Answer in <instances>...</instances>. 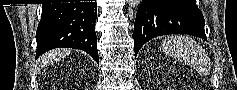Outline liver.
<instances>
[{
    "label": "liver",
    "instance_id": "1",
    "mask_svg": "<svg viewBox=\"0 0 237 90\" xmlns=\"http://www.w3.org/2000/svg\"><path fill=\"white\" fill-rule=\"evenodd\" d=\"M56 52H61V50H56ZM46 56H48V54H46ZM55 56H57V54H54V56H51V60H55ZM61 56H63V54H61Z\"/></svg>",
    "mask_w": 237,
    "mask_h": 90
}]
</instances>
